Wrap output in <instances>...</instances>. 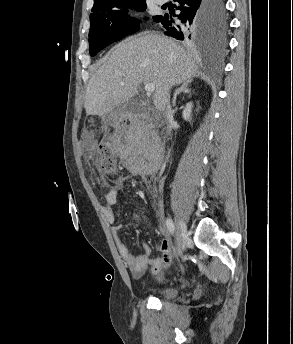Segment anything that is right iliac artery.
<instances>
[{"instance_id":"1","label":"right iliac artery","mask_w":293,"mask_h":344,"mask_svg":"<svg viewBox=\"0 0 293 344\" xmlns=\"http://www.w3.org/2000/svg\"><path fill=\"white\" fill-rule=\"evenodd\" d=\"M166 227L168 231L173 235L175 232V226H174L173 221L170 218H167L166 220Z\"/></svg>"}]
</instances>
